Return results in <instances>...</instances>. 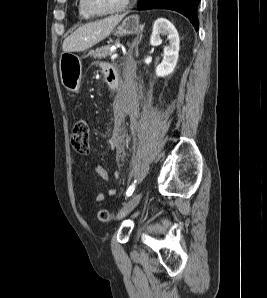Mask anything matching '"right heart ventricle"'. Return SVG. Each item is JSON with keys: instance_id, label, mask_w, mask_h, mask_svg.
<instances>
[{"instance_id": "1", "label": "right heart ventricle", "mask_w": 267, "mask_h": 298, "mask_svg": "<svg viewBox=\"0 0 267 298\" xmlns=\"http://www.w3.org/2000/svg\"><path fill=\"white\" fill-rule=\"evenodd\" d=\"M77 7H78V14H79L80 17H82L85 20H90V19L93 18V16H90L88 13L85 12V10L82 7V1L81 0L78 1V6Z\"/></svg>"}]
</instances>
